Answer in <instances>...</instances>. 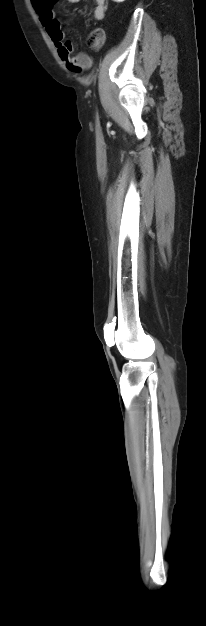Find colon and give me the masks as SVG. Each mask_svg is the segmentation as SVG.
<instances>
[{"mask_svg": "<svg viewBox=\"0 0 206 626\" xmlns=\"http://www.w3.org/2000/svg\"><path fill=\"white\" fill-rule=\"evenodd\" d=\"M105 42V32L102 28H95L88 37V44L94 49H99Z\"/></svg>", "mask_w": 206, "mask_h": 626, "instance_id": "obj_1", "label": "colon"}]
</instances>
